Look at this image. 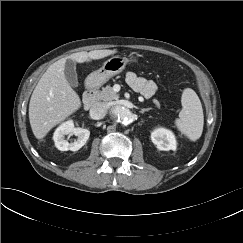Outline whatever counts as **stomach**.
I'll use <instances>...</instances> for the list:
<instances>
[{
  "label": "stomach",
  "mask_w": 243,
  "mask_h": 243,
  "mask_svg": "<svg viewBox=\"0 0 243 243\" xmlns=\"http://www.w3.org/2000/svg\"><path fill=\"white\" fill-rule=\"evenodd\" d=\"M129 61H137V56H115L104 62L103 66L92 72L86 78L89 87H98L106 83L111 77L121 73Z\"/></svg>",
  "instance_id": "obj_1"
}]
</instances>
